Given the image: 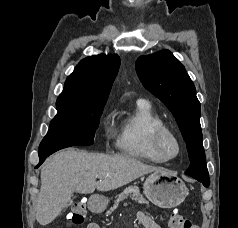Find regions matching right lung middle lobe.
I'll list each match as a JSON object with an SVG mask.
<instances>
[{"label": "right lung middle lobe", "mask_w": 238, "mask_h": 228, "mask_svg": "<svg viewBox=\"0 0 238 228\" xmlns=\"http://www.w3.org/2000/svg\"><path fill=\"white\" fill-rule=\"evenodd\" d=\"M104 106L105 103L90 111L58 112L51 121L48 133L41 141L39 149L91 145Z\"/></svg>", "instance_id": "1"}]
</instances>
